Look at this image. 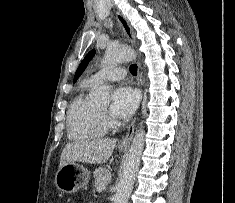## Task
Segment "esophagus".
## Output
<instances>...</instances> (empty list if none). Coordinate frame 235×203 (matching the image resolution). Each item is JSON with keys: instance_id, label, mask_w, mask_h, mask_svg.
<instances>
[{"instance_id": "esophagus-1", "label": "esophagus", "mask_w": 235, "mask_h": 203, "mask_svg": "<svg viewBox=\"0 0 235 203\" xmlns=\"http://www.w3.org/2000/svg\"><path fill=\"white\" fill-rule=\"evenodd\" d=\"M116 18H117L118 22L120 23L125 35L129 39V41L132 43L133 46H136L135 34H134V31H133L132 27L130 26L129 22L119 12H116ZM139 68H140V63H138V70H139ZM138 85L139 86L141 85V74L139 72H138ZM134 129H135V119L130 124L126 135L119 141L120 146H129L130 145L132 137H133Z\"/></svg>"}]
</instances>
